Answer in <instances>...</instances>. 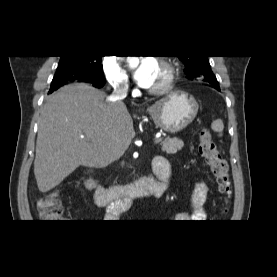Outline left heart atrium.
<instances>
[{
	"label": "left heart atrium",
	"instance_id": "39dd6f15",
	"mask_svg": "<svg viewBox=\"0 0 277 277\" xmlns=\"http://www.w3.org/2000/svg\"><path fill=\"white\" fill-rule=\"evenodd\" d=\"M158 63L153 58L143 59L137 66L134 77L136 82L144 88L152 86Z\"/></svg>",
	"mask_w": 277,
	"mask_h": 277
}]
</instances>
